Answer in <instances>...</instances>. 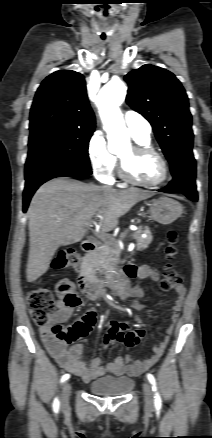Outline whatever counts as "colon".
I'll return each instance as SVG.
<instances>
[{
  "instance_id": "obj_1",
  "label": "colon",
  "mask_w": 212,
  "mask_h": 438,
  "mask_svg": "<svg viewBox=\"0 0 212 438\" xmlns=\"http://www.w3.org/2000/svg\"><path fill=\"white\" fill-rule=\"evenodd\" d=\"M168 244L165 253L168 259L174 257L177 253V233L170 231L167 235ZM79 262V255L73 249H65L58 253L52 263L54 269H64L76 267ZM182 282L181 275L167 264L164 269L163 278L160 287L164 291L175 290ZM60 298L69 305L78 303L79 298L73 287H62L58 292ZM27 303L32 319L38 326H49L54 336L67 343L76 341L88 333V327L80 321L64 327L61 323L53 322L54 314L57 310V301L52 291L45 287H39L32 290L27 297Z\"/></svg>"
}]
</instances>
